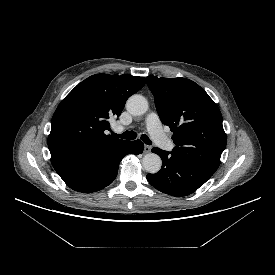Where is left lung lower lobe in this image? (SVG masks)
Listing matches in <instances>:
<instances>
[{
    "label": "left lung lower lobe",
    "mask_w": 275,
    "mask_h": 275,
    "mask_svg": "<svg viewBox=\"0 0 275 275\" xmlns=\"http://www.w3.org/2000/svg\"><path fill=\"white\" fill-rule=\"evenodd\" d=\"M162 159V168L156 174H148L147 180L157 190L175 196L189 195L201 187L212 175L196 164L174 154L152 148Z\"/></svg>",
    "instance_id": "obj_1"
}]
</instances>
